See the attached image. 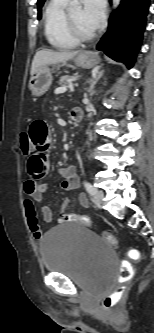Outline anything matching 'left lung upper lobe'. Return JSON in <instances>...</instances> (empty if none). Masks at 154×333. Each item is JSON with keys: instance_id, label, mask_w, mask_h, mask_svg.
Segmentation results:
<instances>
[{"instance_id": "5c2ea615", "label": "left lung upper lobe", "mask_w": 154, "mask_h": 333, "mask_svg": "<svg viewBox=\"0 0 154 333\" xmlns=\"http://www.w3.org/2000/svg\"><path fill=\"white\" fill-rule=\"evenodd\" d=\"M44 2H45V0H38L37 1L39 18H41V8H42Z\"/></svg>"}]
</instances>
